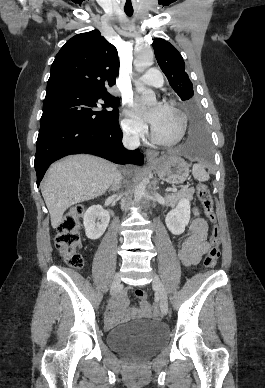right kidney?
<instances>
[{"mask_svg":"<svg viewBox=\"0 0 265 388\" xmlns=\"http://www.w3.org/2000/svg\"><path fill=\"white\" fill-rule=\"evenodd\" d=\"M85 234L89 240H98L103 236L109 222L110 214L102 206H90L83 218Z\"/></svg>","mask_w":265,"mask_h":388,"instance_id":"obj_1","label":"right kidney"}]
</instances>
